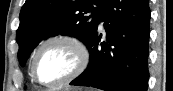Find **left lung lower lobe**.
Wrapping results in <instances>:
<instances>
[{
    "label": "left lung lower lobe",
    "mask_w": 173,
    "mask_h": 91,
    "mask_svg": "<svg viewBox=\"0 0 173 91\" xmlns=\"http://www.w3.org/2000/svg\"><path fill=\"white\" fill-rule=\"evenodd\" d=\"M150 14L148 0H107L99 20L104 22L106 40L101 42L98 24L87 44L88 68L70 85L147 91Z\"/></svg>",
    "instance_id": "obj_1"
}]
</instances>
